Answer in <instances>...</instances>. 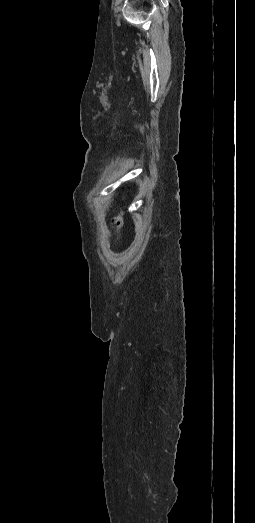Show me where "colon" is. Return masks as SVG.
Here are the masks:
<instances>
[{"mask_svg": "<svg viewBox=\"0 0 255 523\" xmlns=\"http://www.w3.org/2000/svg\"><path fill=\"white\" fill-rule=\"evenodd\" d=\"M113 223L119 231H122L124 226L123 210H120V212L113 217Z\"/></svg>", "mask_w": 255, "mask_h": 523, "instance_id": "1", "label": "colon"}]
</instances>
